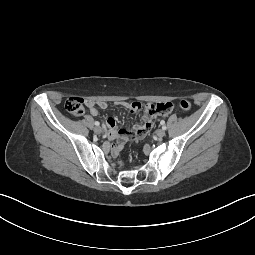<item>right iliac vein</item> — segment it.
<instances>
[{
  "instance_id": "63e3f726",
  "label": "right iliac vein",
  "mask_w": 255,
  "mask_h": 255,
  "mask_svg": "<svg viewBox=\"0 0 255 255\" xmlns=\"http://www.w3.org/2000/svg\"><path fill=\"white\" fill-rule=\"evenodd\" d=\"M94 132H95L96 134H101V133H102L101 127H95V128H94Z\"/></svg>"
}]
</instances>
